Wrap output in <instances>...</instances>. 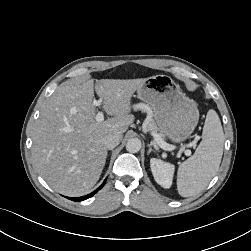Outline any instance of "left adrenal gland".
I'll return each mask as SVG.
<instances>
[{
    "label": "left adrenal gland",
    "mask_w": 251,
    "mask_h": 251,
    "mask_svg": "<svg viewBox=\"0 0 251 251\" xmlns=\"http://www.w3.org/2000/svg\"><path fill=\"white\" fill-rule=\"evenodd\" d=\"M148 147H149V150H148V154L150 153V152H156L153 148H152V145L151 144H148Z\"/></svg>",
    "instance_id": "1"
}]
</instances>
